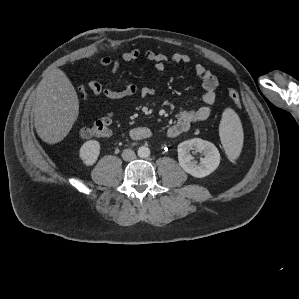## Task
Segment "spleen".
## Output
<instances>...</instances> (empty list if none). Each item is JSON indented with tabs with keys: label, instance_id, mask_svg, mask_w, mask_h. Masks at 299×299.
<instances>
[{
	"label": "spleen",
	"instance_id": "obj_1",
	"mask_svg": "<svg viewBox=\"0 0 299 299\" xmlns=\"http://www.w3.org/2000/svg\"><path fill=\"white\" fill-rule=\"evenodd\" d=\"M220 139L225 151L231 160H235L242 149L243 129L236 112L227 108L222 114L219 126Z\"/></svg>",
	"mask_w": 299,
	"mask_h": 299
}]
</instances>
